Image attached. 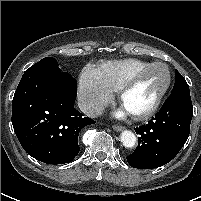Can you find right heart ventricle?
I'll use <instances>...</instances> for the list:
<instances>
[{
  "instance_id": "e07e8e85",
  "label": "right heart ventricle",
  "mask_w": 201,
  "mask_h": 201,
  "mask_svg": "<svg viewBox=\"0 0 201 201\" xmlns=\"http://www.w3.org/2000/svg\"><path fill=\"white\" fill-rule=\"evenodd\" d=\"M150 64V62L128 58L102 63L97 69L105 84L112 91L118 92L128 78Z\"/></svg>"
}]
</instances>
